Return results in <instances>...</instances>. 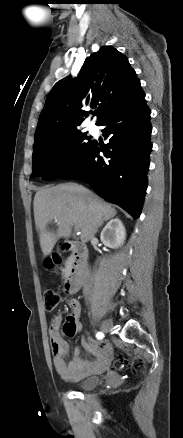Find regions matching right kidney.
Masks as SVG:
<instances>
[{
    "mask_svg": "<svg viewBox=\"0 0 183 438\" xmlns=\"http://www.w3.org/2000/svg\"><path fill=\"white\" fill-rule=\"evenodd\" d=\"M125 238V227L118 218L110 220L100 234L102 243L110 248L120 247L124 243Z\"/></svg>",
    "mask_w": 183,
    "mask_h": 438,
    "instance_id": "right-kidney-1",
    "label": "right kidney"
}]
</instances>
